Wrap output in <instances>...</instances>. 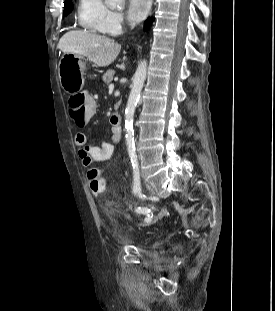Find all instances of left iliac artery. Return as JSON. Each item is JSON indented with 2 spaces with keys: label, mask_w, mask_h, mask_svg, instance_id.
Wrapping results in <instances>:
<instances>
[{
  "label": "left iliac artery",
  "mask_w": 275,
  "mask_h": 311,
  "mask_svg": "<svg viewBox=\"0 0 275 311\" xmlns=\"http://www.w3.org/2000/svg\"><path fill=\"white\" fill-rule=\"evenodd\" d=\"M131 163L133 166V193L136 194L140 191V173H139V164L136 154L130 153ZM150 212V210H148ZM150 213L147 214L146 222L151 220Z\"/></svg>",
  "instance_id": "44dca946"
}]
</instances>
